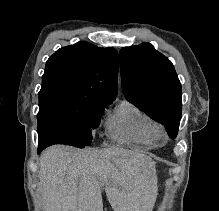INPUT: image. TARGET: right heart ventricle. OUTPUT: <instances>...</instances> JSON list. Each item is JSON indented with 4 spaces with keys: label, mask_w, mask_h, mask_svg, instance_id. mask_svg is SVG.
<instances>
[{
    "label": "right heart ventricle",
    "mask_w": 219,
    "mask_h": 211,
    "mask_svg": "<svg viewBox=\"0 0 219 211\" xmlns=\"http://www.w3.org/2000/svg\"><path fill=\"white\" fill-rule=\"evenodd\" d=\"M111 137L124 143L154 146L162 137L159 124L138 106L123 102L107 121Z\"/></svg>",
    "instance_id": "obj_1"
}]
</instances>
